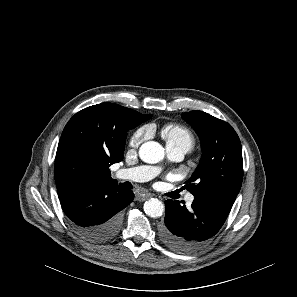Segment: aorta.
<instances>
[{"label": "aorta", "instance_id": "obj_1", "mask_svg": "<svg viewBox=\"0 0 297 297\" xmlns=\"http://www.w3.org/2000/svg\"><path fill=\"white\" fill-rule=\"evenodd\" d=\"M139 156L146 163H157L164 158V148L155 141H147L139 148ZM164 204L157 198H151L144 204V212L153 218L162 216Z\"/></svg>", "mask_w": 297, "mask_h": 297}]
</instances>
